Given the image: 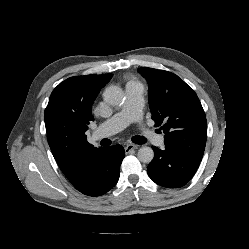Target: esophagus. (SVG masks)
I'll return each instance as SVG.
<instances>
[{"instance_id":"esophagus-1","label":"esophagus","mask_w":249,"mask_h":249,"mask_svg":"<svg viewBox=\"0 0 249 249\" xmlns=\"http://www.w3.org/2000/svg\"><path fill=\"white\" fill-rule=\"evenodd\" d=\"M135 149H138V146L134 145V144H127L125 146V152L126 153H130L132 150H135Z\"/></svg>"}]
</instances>
